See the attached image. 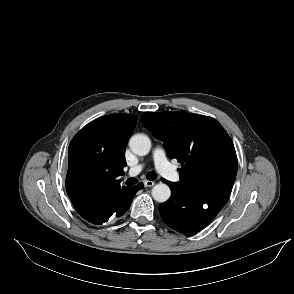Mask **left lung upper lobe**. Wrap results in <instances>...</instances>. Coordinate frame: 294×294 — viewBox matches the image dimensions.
<instances>
[{
    "label": "left lung upper lobe",
    "mask_w": 294,
    "mask_h": 294,
    "mask_svg": "<svg viewBox=\"0 0 294 294\" xmlns=\"http://www.w3.org/2000/svg\"><path fill=\"white\" fill-rule=\"evenodd\" d=\"M142 124L164 142L170 159L178 169L184 189L232 188L238 162L232 139L214 118L183 111L145 112Z\"/></svg>",
    "instance_id": "obj_1"
}]
</instances>
